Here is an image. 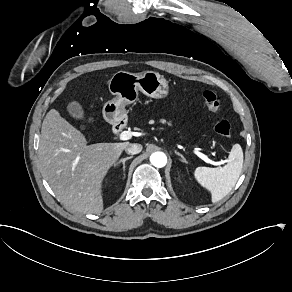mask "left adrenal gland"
I'll return each mask as SVG.
<instances>
[{
  "instance_id": "obj_1",
  "label": "left adrenal gland",
  "mask_w": 292,
  "mask_h": 292,
  "mask_svg": "<svg viewBox=\"0 0 292 292\" xmlns=\"http://www.w3.org/2000/svg\"><path fill=\"white\" fill-rule=\"evenodd\" d=\"M178 156H180L185 161V158H184L183 155H181L180 153H178Z\"/></svg>"
}]
</instances>
